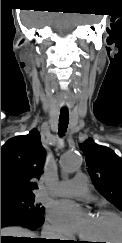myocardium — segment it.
Listing matches in <instances>:
<instances>
[{
  "mask_svg": "<svg viewBox=\"0 0 122 243\" xmlns=\"http://www.w3.org/2000/svg\"><path fill=\"white\" fill-rule=\"evenodd\" d=\"M96 215H107V216H111L114 217L115 219H117L121 226H122V215H120L119 213L113 211V210H109V209H99L95 212ZM120 243H122V240L120 241Z\"/></svg>",
  "mask_w": 122,
  "mask_h": 243,
  "instance_id": "obj_1",
  "label": "myocardium"
}]
</instances>
